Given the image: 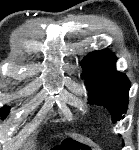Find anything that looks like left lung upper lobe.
<instances>
[{
  "label": "left lung upper lobe",
  "mask_w": 139,
  "mask_h": 150,
  "mask_svg": "<svg viewBox=\"0 0 139 150\" xmlns=\"http://www.w3.org/2000/svg\"><path fill=\"white\" fill-rule=\"evenodd\" d=\"M115 63L116 57L108 50L91 52L81 62L89 103L106 107L113 122L123 118L131 86L126 75L116 71Z\"/></svg>",
  "instance_id": "obj_1"
}]
</instances>
